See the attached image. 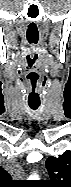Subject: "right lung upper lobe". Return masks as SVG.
<instances>
[{
  "mask_svg": "<svg viewBox=\"0 0 71 187\" xmlns=\"http://www.w3.org/2000/svg\"><path fill=\"white\" fill-rule=\"evenodd\" d=\"M1 173H2V176L4 177V179H6V180L11 179L10 174L8 172H6L5 170L1 169Z\"/></svg>",
  "mask_w": 71,
  "mask_h": 187,
  "instance_id": "cb5924a9",
  "label": "right lung upper lobe"
}]
</instances>
